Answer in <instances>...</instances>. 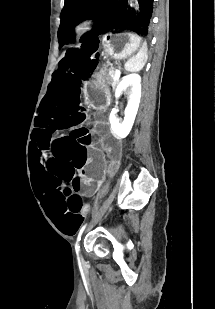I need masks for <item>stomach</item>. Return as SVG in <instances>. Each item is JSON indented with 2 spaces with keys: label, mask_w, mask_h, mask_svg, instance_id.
Listing matches in <instances>:
<instances>
[{
  "label": "stomach",
  "mask_w": 215,
  "mask_h": 309,
  "mask_svg": "<svg viewBox=\"0 0 215 309\" xmlns=\"http://www.w3.org/2000/svg\"><path fill=\"white\" fill-rule=\"evenodd\" d=\"M104 55L116 61L125 60L141 50L142 39L131 32L108 33L102 38ZM108 70L103 66L84 85L85 93L93 102L104 101L107 95Z\"/></svg>",
  "instance_id": "obj_1"
}]
</instances>
